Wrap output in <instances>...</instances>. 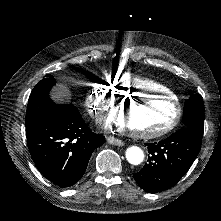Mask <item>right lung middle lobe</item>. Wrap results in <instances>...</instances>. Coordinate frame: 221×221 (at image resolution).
Here are the masks:
<instances>
[{"mask_svg": "<svg viewBox=\"0 0 221 221\" xmlns=\"http://www.w3.org/2000/svg\"><path fill=\"white\" fill-rule=\"evenodd\" d=\"M53 85H55V79L51 75H46L32 90L27 105L26 126L45 118L71 116L79 113L73 104L62 106L52 102L49 91Z\"/></svg>", "mask_w": 221, "mask_h": 221, "instance_id": "dd1d6c3e", "label": "right lung middle lobe"}]
</instances>
